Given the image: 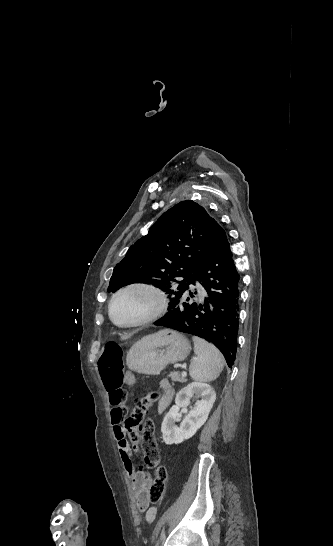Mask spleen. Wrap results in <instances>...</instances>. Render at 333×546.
<instances>
[{"label":"spleen","mask_w":333,"mask_h":546,"mask_svg":"<svg viewBox=\"0 0 333 546\" xmlns=\"http://www.w3.org/2000/svg\"><path fill=\"white\" fill-rule=\"evenodd\" d=\"M192 339L195 357L189 367L190 376L198 382H211L217 379L224 367L222 354L204 339L196 336Z\"/></svg>","instance_id":"1"}]
</instances>
